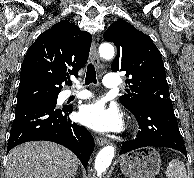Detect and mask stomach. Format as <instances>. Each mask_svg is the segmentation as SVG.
Returning <instances> with one entry per match:
<instances>
[{"instance_id": "0dacf381", "label": "stomach", "mask_w": 194, "mask_h": 178, "mask_svg": "<svg viewBox=\"0 0 194 178\" xmlns=\"http://www.w3.org/2000/svg\"><path fill=\"white\" fill-rule=\"evenodd\" d=\"M160 169V154L151 147L137 149L120 158V170L129 178H153Z\"/></svg>"}]
</instances>
